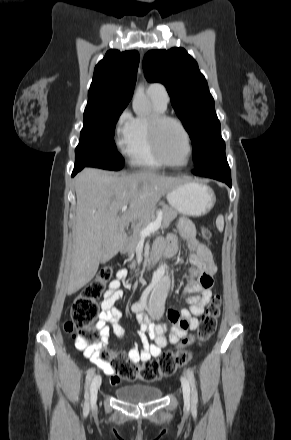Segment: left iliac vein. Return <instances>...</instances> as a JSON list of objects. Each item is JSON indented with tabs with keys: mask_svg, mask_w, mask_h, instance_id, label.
<instances>
[{
	"mask_svg": "<svg viewBox=\"0 0 291 440\" xmlns=\"http://www.w3.org/2000/svg\"><path fill=\"white\" fill-rule=\"evenodd\" d=\"M182 382V391H183V398L186 404L189 405L190 403V396H191V388L190 383L186 377L181 378Z\"/></svg>",
	"mask_w": 291,
	"mask_h": 440,
	"instance_id": "1",
	"label": "left iliac vein"
}]
</instances>
